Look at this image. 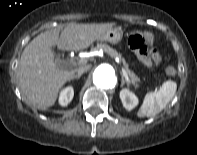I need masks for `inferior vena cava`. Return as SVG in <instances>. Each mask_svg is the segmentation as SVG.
Wrapping results in <instances>:
<instances>
[{
    "label": "inferior vena cava",
    "mask_w": 197,
    "mask_h": 155,
    "mask_svg": "<svg viewBox=\"0 0 197 155\" xmlns=\"http://www.w3.org/2000/svg\"><path fill=\"white\" fill-rule=\"evenodd\" d=\"M90 69L89 65H84L76 69V72L82 75L84 72H87Z\"/></svg>",
    "instance_id": "obj_1"
}]
</instances>
